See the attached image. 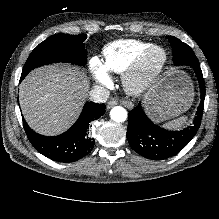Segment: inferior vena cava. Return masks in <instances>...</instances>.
I'll return each mask as SVG.
<instances>
[{"label": "inferior vena cava", "mask_w": 219, "mask_h": 219, "mask_svg": "<svg viewBox=\"0 0 219 219\" xmlns=\"http://www.w3.org/2000/svg\"><path fill=\"white\" fill-rule=\"evenodd\" d=\"M110 92L105 88L93 86L89 91V98L96 103H104L109 98Z\"/></svg>", "instance_id": "1"}]
</instances>
